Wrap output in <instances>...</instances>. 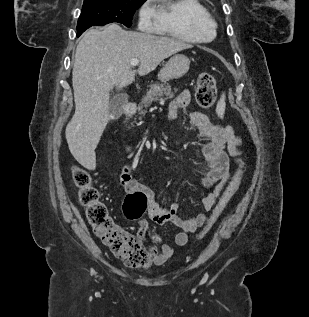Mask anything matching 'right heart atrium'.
<instances>
[{"label":"right heart atrium","mask_w":309,"mask_h":317,"mask_svg":"<svg viewBox=\"0 0 309 317\" xmlns=\"http://www.w3.org/2000/svg\"><path fill=\"white\" fill-rule=\"evenodd\" d=\"M139 26L149 29L157 23V13L152 4V0L145 1L139 9Z\"/></svg>","instance_id":"1"}]
</instances>
